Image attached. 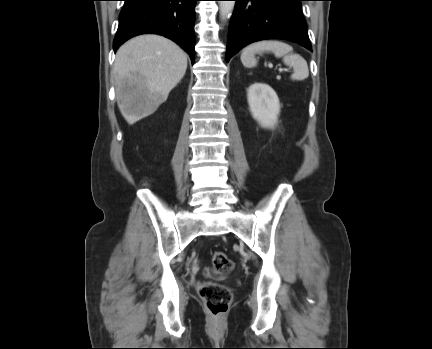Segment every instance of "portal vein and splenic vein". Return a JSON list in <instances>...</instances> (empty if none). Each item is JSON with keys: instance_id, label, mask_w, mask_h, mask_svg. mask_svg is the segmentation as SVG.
<instances>
[{"instance_id": "1", "label": "portal vein and splenic vein", "mask_w": 432, "mask_h": 349, "mask_svg": "<svg viewBox=\"0 0 432 349\" xmlns=\"http://www.w3.org/2000/svg\"><path fill=\"white\" fill-rule=\"evenodd\" d=\"M269 67H272V64H269ZM283 70H285V69H283V68H279V71H280V72H282Z\"/></svg>"}]
</instances>
